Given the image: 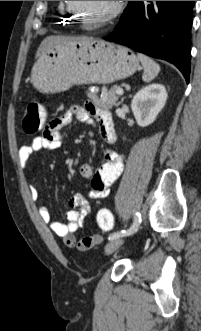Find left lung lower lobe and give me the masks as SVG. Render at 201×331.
<instances>
[{
    "label": "left lung lower lobe",
    "mask_w": 201,
    "mask_h": 331,
    "mask_svg": "<svg viewBox=\"0 0 201 331\" xmlns=\"http://www.w3.org/2000/svg\"><path fill=\"white\" fill-rule=\"evenodd\" d=\"M194 1H129L105 40L174 64L187 83Z\"/></svg>",
    "instance_id": "0a47b994"
}]
</instances>
